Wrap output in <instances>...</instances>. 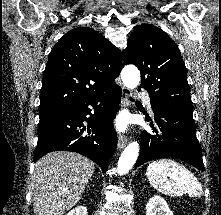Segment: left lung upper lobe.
<instances>
[{
	"instance_id": "obj_1",
	"label": "left lung upper lobe",
	"mask_w": 221,
	"mask_h": 215,
	"mask_svg": "<svg viewBox=\"0 0 221 215\" xmlns=\"http://www.w3.org/2000/svg\"><path fill=\"white\" fill-rule=\"evenodd\" d=\"M123 60L141 70L140 86L148 91L151 101L192 110L183 59L163 30L154 25L138 26L127 42Z\"/></svg>"
}]
</instances>
